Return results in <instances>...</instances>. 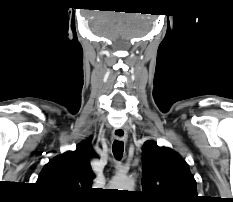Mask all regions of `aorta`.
I'll list each match as a JSON object with an SVG mask.
<instances>
[{"mask_svg": "<svg viewBox=\"0 0 233 202\" xmlns=\"http://www.w3.org/2000/svg\"><path fill=\"white\" fill-rule=\"evenodd\" d=\"M134 184V180L128 176H117L113 178L111 182V186L113 187V189L129 191H132V189L134 188Z\"/></svg>", "mask_w": 233, "mask_h": 202, "instance_id": "aorta-1", "label": "aorta"}]
</instances>
